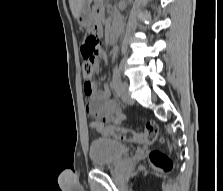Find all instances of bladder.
<instances>
[{
	"mask_svg": "<svg viewBox=\"0 0 223 191\" xmlns=\"http://www.w3.org/2000/svg\"><path fill=\"white\" fill-rule=\"evenodd\" d=\"M128 151L129 147L124 141L96 138L89 145V158L93 166L103 168L121 161Z\"/></svg>",
	"mask_w": 223,
	"mask_h": 191,
	"instance_id": "bladder-1",
	"label": "bladder"
}]
</instances>
